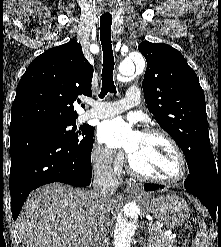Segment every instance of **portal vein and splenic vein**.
Returning <instances> with one entry per match:
<instances>
[{
    "label": "portal vein and splenic vein",
    "mask_w": 221,
    "mask_h": 247,
    "mask_svg": "<svg viewBox=\"0 0 221 247\" xmlns=\"http://www.w3.org/2000/svg\"><path fill=\"white\" fill-rule=\"evenodd\" d=\"M159 230H160V232H162L164 235L168 236L169 238H173L174 237V235H172L170 231L163 232L161 229H159Z\"/></svg>",
    "instance_id": "18ae733b"
}]
</instances>
